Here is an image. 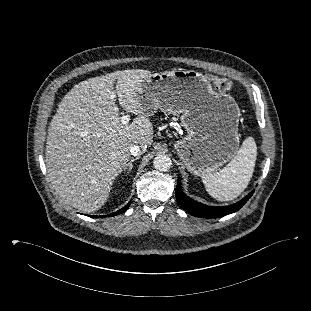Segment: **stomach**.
<instances>
[{
  "label": "stomach",
  "instance_id": "1",
  "mask_svg": "<svg viewBox=\"0 0 311 311\" xmlns=\"http://www.w3.org/2000/svg\"><path fill=\"white\" fill-rule=\"evenodd\" d=\"M137 99L149 116L157 109L181 114L187 135L175 148L193 175L212 173L237 154L240 109L231 96L215 92L203 74L193 70L151 74L140 84Z\"/></svg>",
  "mask_w": 311,
  "mask_h": 311
}]
</instances>
